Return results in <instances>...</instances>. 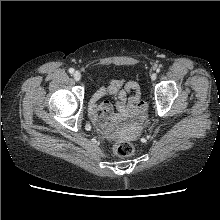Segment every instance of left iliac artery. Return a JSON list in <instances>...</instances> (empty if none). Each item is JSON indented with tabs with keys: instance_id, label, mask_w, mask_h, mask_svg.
<instances>
[{
	"instance_id": "left-iliac-artery-1",
	"label": "left iliac artery",
	"mask_w": 220,
	"mask_h": 220,
	"mask_svg": "<svg viewBox=\"0 0 220 220\" xmlns=\"http://www.w3.org/2000/svg\"><path fill=\"white\" fill-rule=\"evenodd\" d=\"M159 71H160V68L157 69V72H159Z\"/></svg>"
}]
</instances>
